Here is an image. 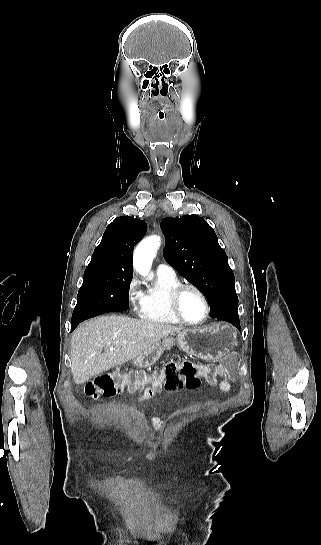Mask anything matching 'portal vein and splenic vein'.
<instances>
[{
  "label": "portal vein and splenic vein",
  "instance_id": "1",
  "mask_svg": "<svg viewBox=\"0 0 321 545\" xmlns=\"http://www.w3.org/2000/svg\"><path fill=\"white\" fill-rule=\"evenodd\" d=\"M110 345H111V349H110V351H113L112 343H110Z\"/></svg>",
  "mask_w": 321,
  "mask_h": 545
}]
</instances>
